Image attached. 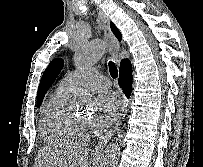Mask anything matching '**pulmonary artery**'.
I'll return each instance as SVG.
<instances>
[{
  "label": "pulmonary artery",
  "mask_w": 203,
  "mask_h": 167,
  "mask_svg": "<svg viewBox=\"0 0 203 167\" xmlns=\"http://www.w3.org/2000/svg\"><path fill=\"white\" fill-rule=\"evenodd\" d=\"M67 87L83 85L91 90L107 89L110 81L94 68H86L79 71L67 73L61 81Z\"/></svg>",
  "instance_id": "e3ab8cb5"
}]
</instances>
